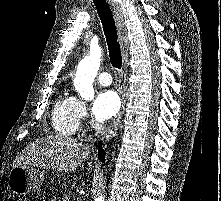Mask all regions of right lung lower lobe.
Returning <instances> with one entry per match:
<instances>
[{
	"mask_svg": "<svg viewBox=\"0 0 221 201\" xmlns=\"http://www.w3.org/2000/svg\"><path fill=\"white\" fill-rule=\"evenodd\" d=\"M98 156L100 158L101 161H105V152L104 150L101 148V142H99V145H98Z\"/></svg>",
	"mask_w": 221,
	"mask_h": 201,
	"instance_id": "1",
	"label": "right lung lower lobe"
}]
</instances>
